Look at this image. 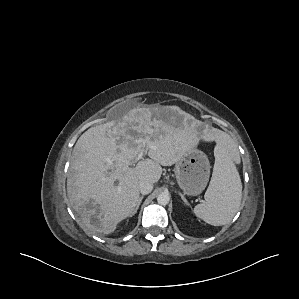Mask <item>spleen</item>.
<instances>
[{"mask_svg":"<svg viewBox=\"0 0 299 299\" xmlns=\"http://www.w3.org/2000/svg\"><path fill=\"white\" fill-rule=\"evenodd\" d=\"M215 163L205 202L194 213L206 223L222 226L229 223L239 209L242 183L229 149L219 141L214 150Z\"/></svg>","mask_w":299,"mask_h":299,"instance_id":"spleen-1","label":"spleen"}]
</instances>
